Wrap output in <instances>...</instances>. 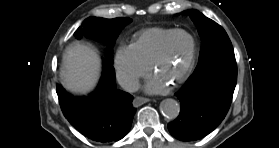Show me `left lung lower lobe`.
Returning a JSON list of instances; mask_svg holds the SVG:
<instances>
[{"mask_svg": "<svg viewBox=\"0 0 279 148\" xmlns=\"http://www.w3.org/2000/svg\"><path fill=\"white\" fill-rule=\"evenodd\" d=\"M236 82L234 53L199 63L191 78L175 94L181 110L168 124L171 135L182 141H194L212 132L229 110Z\"/></svg>", "mask_w": 279, "mask_h": 148, "instance_id": "0a47b994", "label": "left lung lower lobe"}]
</instances>
